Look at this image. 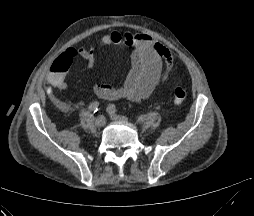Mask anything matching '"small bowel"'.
<instances>
[{
    "label": "small bowel",
    "instance_id": "c3829d8e",
    "mask_svg": "<svg viewBox=\"0 0 254 216\" xmlns=\"http://www.w3.org/2000/svg\"><path fill=\"white\" fill-rule=\"evenodd\" d=\"M112 45L130 48L131 68L124 83L119 87H112L102 82L96 84L93 93L98 98L142 101L167 80L168 71L163 69V65H171L172 54L167 47L144 33L114 31L103 35L96 45L89 48L67 49L60 58L64 64L70 65L75 57H79L87 62V71H93L96 66V49ZM48 83L50 89L66 90L68 88L66 71L60 74L50 72ZM51 97L56 99L52 93Z\"/></svg>",
    "mask_w": 254,
    "mask_h": 216
}]
</instances>
